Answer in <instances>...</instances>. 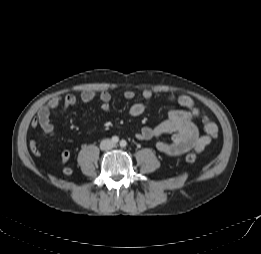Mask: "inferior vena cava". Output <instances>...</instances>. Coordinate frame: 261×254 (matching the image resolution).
Here are the masks:
<instances>
[{
    "label": "inferior vena cava",
    "instance_id": "602c4592",
    "mask_svg": "<svg viewBox=\"0 0 261 254\" xmlns=\"http://www.w3.org/2000/svg\"><path fill=\"white\" fill-rule=\"evenodd\" d=\"M113 147H114V143L109 139H104L100 143V148L102 150H109L112 149Z\"/></svg>",
    "mask_w": 261,
    "mask_h": 254
}]
</instances>
